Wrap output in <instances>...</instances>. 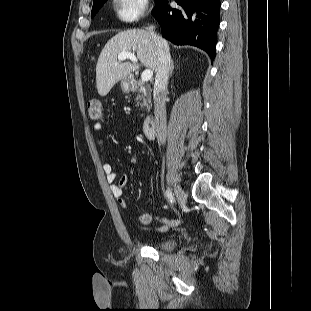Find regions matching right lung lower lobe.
Here are the masks:
<instances>
[{
    "label": "right lung lower lobe",
    "mask_w": 311,
    "mask_h": 311,
    "mask_svg": "<svg viewBox=\"0 0 311 311\" xmlns=\"http://www.w3.org/2000/svg\"><path fill=\"white\" fill-rule=\"evenodd\" d=\"M178 8L159 1L152 15L161 25L162 36L177 45H193L215 58L220 0H175Z\"/></svg>",
    "instance_id": "98d812e1"
}]
</instances>
